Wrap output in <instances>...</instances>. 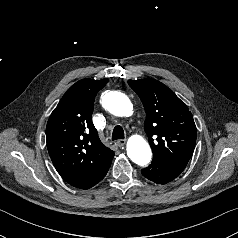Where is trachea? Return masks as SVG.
Masks as SVG:
<instances>
[{"mask_svg": "<svg viewBox=\"0 0 238 238\" xmlns=\"http://www.w3.org/2000/svg\"><path fill=\"white\" fill-rule=\"evenodd\" d=\"M124 130L121 126H115L112 133V140L124 139Z\"/></svg>", "mask_w": 238, "mask_h": 238, "instance_id": "3493384b", "label": "trachea"}]
</instances>
